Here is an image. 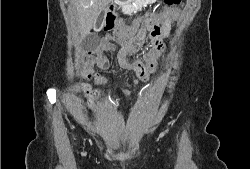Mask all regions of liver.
<instances>
[{"label":"liver","mask_w":250,"mask_h":169,"mask_svg":"<svg viewBox=\"0 0 250 169\" xmlns=\"http://www.w3.org/2000/svg\"><path fill=\"white\" fill-rule=\"evenodd\" d=\"M109 2L111 0H73L78 16V30L81 36H86L91 28L95 26L99 14L105 10Z\"/></svg>","instance_id":"obj_1"}]
</instances>
